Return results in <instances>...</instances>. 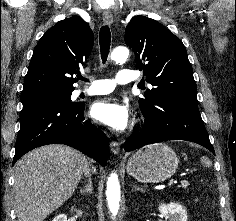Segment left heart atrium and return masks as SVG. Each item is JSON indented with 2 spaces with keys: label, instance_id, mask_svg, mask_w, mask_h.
<instances>
[{
  "label": "left heart atrium",
  "instance_id": "39dd6f15",
  "mask_svg": "<svg viewBox=\"0 0 236 221\" xmlns=\"http://www.w3.org/2000/svg\"><path fill=\"white\" fill-rule=\"evenodd\" d=\"M91 115L115 131L125 130L131 121L128 107L111 97L96 101L92 106Z\"/></svg>",
  "mask_w": 236,
  "mask_h": 221
}]
</instances>
